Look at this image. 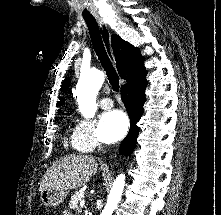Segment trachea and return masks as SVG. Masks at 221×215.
<instances>
[{"label":"trachea","mask_w":221,"mask_h":215,"mask_svg":"<svg viewBox=\"0 0 221 215\" xmlns=\"http://www.w3.org/2000/svg\"><path fill=\"white\" fill-rule=\"evenodd\" d=\"M85 22L87 24L92 45L96 52V55L98 56L101 65L106 71L112 89L117 92L119 91V78L105 50L97 22L95 19H86V18Z\"/></svg>","instance_id":"3493384b"}]
</instances>
